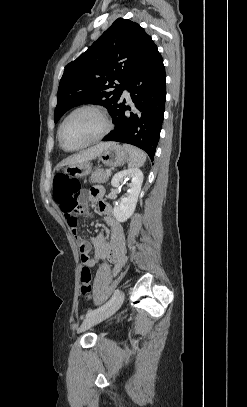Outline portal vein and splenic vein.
I'll list each match as a JSON object with an SVG mask.
<instances>
[{"instance_id": "18ae733b", "label": "portal vein and splenic vein", "mask_w": 247, "mask_h": 407, "mask_svg": "<svg viewBox=\"0 0 247 407\" xmlns=\"http://www.w3.org/2000/svg\"><path fill=\"white\" fill-rule=\"evenodd\" d=\"M107 172L110 173L111 171H110V170H107Z\"/></svg>"}]
</instances>
